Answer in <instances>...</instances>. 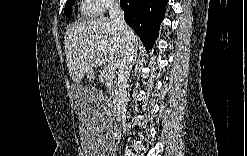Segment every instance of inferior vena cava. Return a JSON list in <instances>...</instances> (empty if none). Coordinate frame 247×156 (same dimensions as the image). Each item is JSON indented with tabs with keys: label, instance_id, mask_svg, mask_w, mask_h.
<instances>
[{
	"label": "inferior vena cava",
	"instance_id": "obj_1",
	"mask_svg": "<svg viewBox=\"0 0 247 156\" xmlns=\"http://www.w3.org/2000/svg\"><path fill=\"white\" fill-rule=\"evenodd\" d=\"M109 16L113 23L117 26L123 38L124 50L118 67L113 99L117 110L121 114L123 126H125L126 108L128 102L126 84L137 55V46L132 40L131 29L124 20V12L120 7L119 1L115 0L110 2Z\"/></svg>",
	"mask_w": 247,
	"mask_h": 156
}]
</instances>
